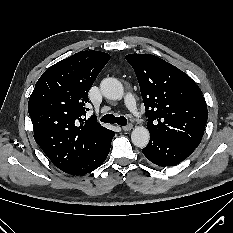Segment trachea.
<instances>
[{
  "label": "trachea",
  "instance_id": "1",
  "mask_svg": "<svg viewBox=\"0 0 233 233\" xmlns=\"http://www.w3.org/2000/svg\"><path fill=\"white\" fill-rule=\"evenodd\" d=\"M101 122L125 126L127 124V119L124 116L116 117L113 114H106L101 119Z\"/></svg>",
  "mask_w": 233,
  "mask_h": 233
}]
</instances>
